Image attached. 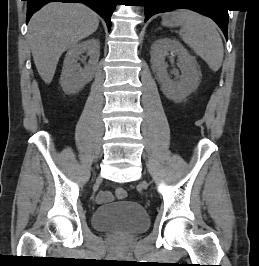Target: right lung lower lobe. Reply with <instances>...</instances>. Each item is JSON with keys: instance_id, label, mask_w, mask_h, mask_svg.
Segmentation results:
<instances>
[{"instance_id": "98d812e1", "label": "right lung lower lobe", "mask_w": 259, "mask_h": 266, "mask_svg": "<svg viewBox=\"0 0 259 266\" xmlns=\"http://www.w3.org/2000/svg\"><path fill=\"white\" fill-rule=\"evenodd\" d=\"M27 1V20L28 23L31 16L38 11L43 5L49 2H62V3H83L88 5L99 15H101L110 30L111 27V15L117 4V0H25Z\"/></svg>"}]
</instances>
